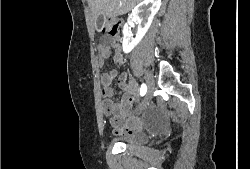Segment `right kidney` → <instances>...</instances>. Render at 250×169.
Instances as JSON below:
<instances>
[{"instance_id": "ca27d5eb", "label": "right kidney", "mask_w": 250, "mask_h": 169, "mask_svg": "<svg viewBox=\"0 0 250 169\" xmlns=\"http://www.w3.org/2000/svg\"><path fill=\"white\" fill-rule=\"evenodd\" d=\"M160 6L161 0H142V2H139V4H136V6L132 8L129 18H131L133 22H137L138 30L135 38H133L130 34V28L134 26V24H132V22H125L122 42L124 52H131L132 48L142 40Z\"/></svg>"}]
</instances>
